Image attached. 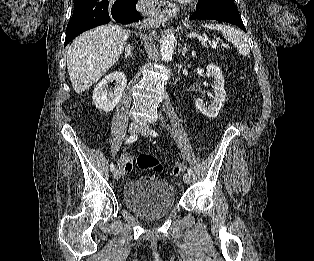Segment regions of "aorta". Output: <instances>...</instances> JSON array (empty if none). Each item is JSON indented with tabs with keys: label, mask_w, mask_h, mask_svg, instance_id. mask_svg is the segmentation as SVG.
<instances>
[{
	"label": "aorta",
	"mask_w": 314,
	"mask_h": 261,
	"mask_svg": "<svg viewBox=\"0 0 314 261\" xmlns=\"http://www.w3.org/2000/svg\"><path fill=\"white\" fill-rule=\"evenodd\" d=\"M174 48H175V36L174 34L169 33L163 37V40L160 46V55H161V59L164 62H169L172 60Z\"/></svg>",
	"instance_id": "aorta-1"
}]
</instances>
